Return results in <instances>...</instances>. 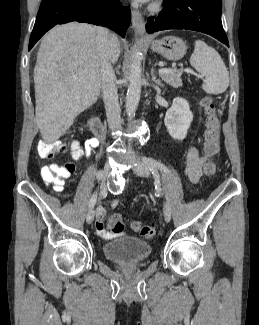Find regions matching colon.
Listing matches in <instances>:
<instances>
[{"instance_id":"colon-1","label":"colon","mask_w":259,"mask_h":325,"mask_svg":"<svg viewBox=\"0 0 259 325\" xmlns=\"http://www.w3.org/2000/svg\"><path fill=\"white\" fill-rule=\"evenodd\" d=\"M202 106L206 113V131L204 142L205 155H214L219 148V119L217 116L215 105L211 98L205 97L202 100ZM65 144L60 140L55 141H41L38 144V154L42 158H51L56 153L64 151ZM68 153L75 159L80 154V147L73 143L68 149ZM216 166L213 162H209L205 166V173L209 176L213 175ZM74 172V165L66 163L64 165H52L42 172L44 182L51 185L56 191H61L64 181ZM108 230L113 234H120L123 232L124 223L122 217L118 214L111 216L107 223ZM133 231L141 234L145 239H152L155 236V228L152 225L144 224L140 221H133L131 224Z\"/></svg>"}]
</instances>
